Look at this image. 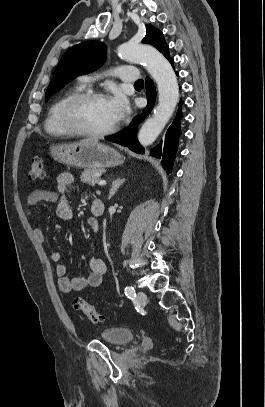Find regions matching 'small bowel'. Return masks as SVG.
Masks as SVG:
<instances>
[{"mask_svg": "<svg viewBox=\"0 0 265 407\" xmlns=\"http://www.w3.org/2000/svg\"><path fill=\"white\" fill-rule=\"evenodd\" d=\"M75 178L72 173L64 172L57 177L56 191H48L37 189L31 192L26 199V215L33 222L31 207L40 202H52L56 204V215L63 221H69L72 218L73 211L70 202L67 198V190L74 183ZM90 223L96 228V220L90 218ZM34 235L41 243H45L46 235L44 231L35 226ZM50 259L56 265V274L58 276V287L64 293L81 291L87 287H98L101 285L103 276L106 272V265L102 259L91 258L88 261L89 274L85 277L78 276L69 278L67 276V265L62 260V254L59 251H53L50 254Z\"/></svg>", "mask_w": 265, "mask_h": 407, "instance_id": "c3829d8e", "label": "small bowel"}]
</instances>
